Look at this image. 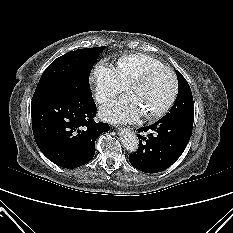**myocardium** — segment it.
<instances>
[{"label": "myocardium", "instance_id": "myocardium-1", "mask_svg": "<svg viewBox=\"0 0 233 233\" xmlns=\"http://www.w3.org/2000/svg\"><path fill=\"white\" fill-rule=\"evenodd\" d=\"M164 70L170 73L172 77V90L170 93V96L166 103L157 111L149 114H143V117L147 120H154L157 118L162 117L164 114H166L169 109L172 107L173 103L175 102L177 93H178V79L175 74V72L168 66L160 65V66H153L145 69L143 72H141L138 76H136L129 84H128V90L130 91L134 86L139 85L143 83L152 73Z\"/></svg>", "mask_w": 233, "mask_h": 233}]
</instances>
